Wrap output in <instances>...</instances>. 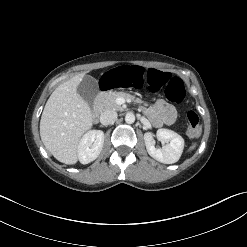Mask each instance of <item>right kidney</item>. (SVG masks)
<instances>
[{
	"mask_svg": "<svg viewBox=\"0 0 247 247\" xmlns=\"http://www.w3.org/2000/svg\"><path fill=\"white\" fill-rule=\"evenodd\" d=\"M104 144V132L91 130L87 132L78 145V159L82 164L94 161L100 154Z\"/></svg>",
	"mask_w": 247,
	"mask_h": 247,
	"instance_id": "right-kidney-1",
	"label": "right kidney"
}]
</instances>
